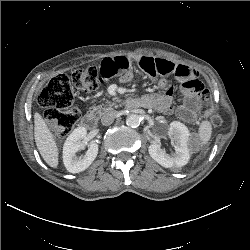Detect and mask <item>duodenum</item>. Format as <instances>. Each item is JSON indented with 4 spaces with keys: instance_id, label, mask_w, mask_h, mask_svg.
<instances>
[{
    "instance_id": "obj_1",
    "label": "duodenum",
    "mask_w": 250,
    "mask_h": 250,
    "mask_svg": "<svg viewBox=\"0 0 250 250\" xmlns=\"http://www.w3.org/2000/svg\"><path fill=\"white\" fill-rule=\"evenodd\" d=\"M126 106L131 107V108H138L140 106V104L137 102V98H135V99L127 101ZM82 124L86 128L94 129L95 126H96V117H95V115L92 112L86 113L83 116Z\"/></svg>"
}]
</instances>
